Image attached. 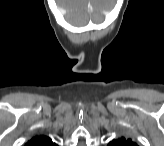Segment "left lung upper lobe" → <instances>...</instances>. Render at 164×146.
Instances as JSON below:
<instances>
[{"label": "left lung upper lobe", "mask_w": 164, "mask_h": 146, "mask_svg": "<svg viewBox=\"0 0 164 146\" xmlns=\"http://www.w3.org/2000/svg\"><path fill=\"white\" fill-rule=\"evenodd\" d=\"M109 146H136V144L131 139H126L124 137L119 139H114L109 143Z\"/></svg>", "instance_id": "left-lung-upper-lobe-1"}]
</instances>
